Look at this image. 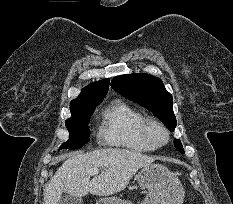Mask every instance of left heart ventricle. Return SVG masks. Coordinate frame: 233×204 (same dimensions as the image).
Instances as JSON below:
<instances>
[{"instance_id": "obj_1", "label": "left heart ventricle", "mask_w": 233, "mask_h": 204, "mask_svg": "<svg viewBox=\"0 0 233 204\" xmlns=\"http://www.w3.org/2000/svg\"><path fill=\"white\" fill-rule=\"evenodd\" d=\"M152 135L154 137V139L157 141V142H162L164 141V134L163 132L157 128V127H153L152 130Z\"/></svg>"}]
</instances>
